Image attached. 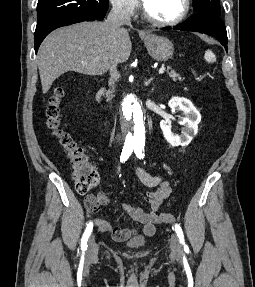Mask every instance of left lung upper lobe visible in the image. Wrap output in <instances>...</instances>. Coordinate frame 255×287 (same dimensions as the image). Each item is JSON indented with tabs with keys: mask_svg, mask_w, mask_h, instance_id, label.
Wrapping results in <instances>:
<instances>
[{
	"mask_svg": "<svg viewBox=\"0 0 255 287\" xmlns=\"http://www.w3.org/2000/svg\"><path fill=\"white\" fill-rule=\"evenodd\" d=\"M195 12H209L220 16L219 0H193Z\"/></svg>",
	"mask_w": 255,
	"mask_h": 287,
	"instance_id": "left-lung-upper-lobe-1",
	"label": "left lung upper lobe"
}]
</instances>
